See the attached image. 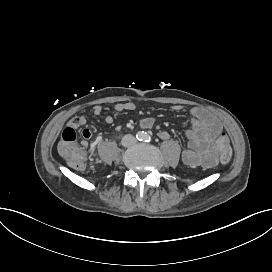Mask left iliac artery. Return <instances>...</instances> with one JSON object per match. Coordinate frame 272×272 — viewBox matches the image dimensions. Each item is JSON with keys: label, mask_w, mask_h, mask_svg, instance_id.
Wrapping results in <instances>:
<instances>
[{"label": "left iliac artery", "mask_w": 272, "mask_h": 272, "mask_svg": "<svg viewBox=\"0 0 272 272\" xmlns=\"http://www.w3.org/2000/svg\"><path fill=\"white\" fill-rule=\"evenodd\" d=\"M145 142H150L151 141V136L148 135L147 133L145 134V138H144Z\"/></svg>", "instance_id": "1"}]
</instances>
